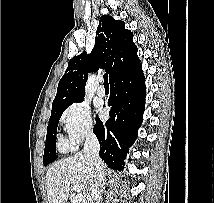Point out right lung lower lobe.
<instances>
[{
    "label": "right lung lower lobe",
    "mask_w": 214,
    "mask_h": 203,
    "mask_svg": "<svg viewBox=\"0 0 214 203\" xmlns=\"http://www.w3.org/2000/svg\"><path fill=\"white\" fill-rule=\"evenodd\" d=\"M110 118L98 115L93 132L100 143V157L114 170H122L129 147L138 136L145 104V78L141 63L110 82Z\"/></svg>",
    "instance_id": "1"
}]
</instances>
